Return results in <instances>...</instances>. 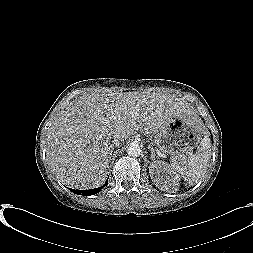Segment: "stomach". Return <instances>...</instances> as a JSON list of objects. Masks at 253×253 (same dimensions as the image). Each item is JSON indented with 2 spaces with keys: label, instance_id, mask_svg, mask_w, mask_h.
<instances>
[{
  "label": "stomach",
  "instance_id": "stomach-1",
  "mask_svg": "<svg viewBox=\"0 0 253 253\" xmlns=\"http://www.w3.org/2000/svg\"><path fill=\"white\" fill-rule=\"evenodd\" d=\"M203 129L195 116H180L158 132L152 141L158 155L172 158L187 157L197 148L203 137Z\"/></svg>",
  "mask_w": 253,
  "mask_h": 253
}]
</instances>
